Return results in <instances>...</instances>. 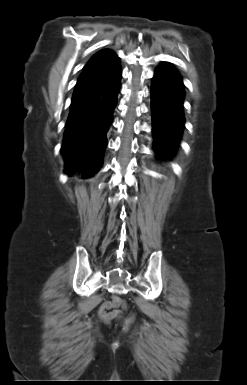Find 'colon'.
<instances>
[{
    "label": "colon",
    "instance_id": "colon-1",
    "mask_svg": "<svg viewBox=\"0 0 247 385\" xmlns=\"http://www.w3.org/2000/svg\"><path fill=\"white\" fill-rule=\"evenodd\" d=\"M134 314H131L127 317V319L125 320V323H124V329L125 330H128V328L132 325V323L134 322Z\"/></svg>",
    "mask_w": 247,
    "mask_h": 385
}]
</instances>
